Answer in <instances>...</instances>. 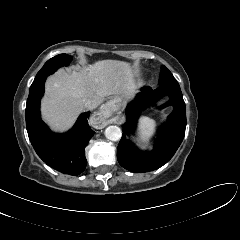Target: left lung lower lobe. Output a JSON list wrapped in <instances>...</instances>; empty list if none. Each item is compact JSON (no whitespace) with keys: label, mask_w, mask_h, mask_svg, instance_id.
<instances>
[{"label":"left lung lower lobe","mask_w":240,"mask_h":240,"mask_svg":"<svg viewBox=\"0 0 240 240\" xmlns=\"http://www.w3.org/2000/svg\"><path fill=\"white\" fill-rule=\"evenodd\" d=\"M164 95H168L170 101L162 105V108L172 105L174 111L168 117V122L162 127L154 149L149 153L142 152L126 139V134L133 133L140 111L153 105ZM126 120L117 149L119 164L129 171L137 173L160 168L172 158L185 135L186 108L180 86L160 85L155 90L143 87L136 99L127 106Z\"/></svg>","instance_id":"0a47b994"}]
</instances>
